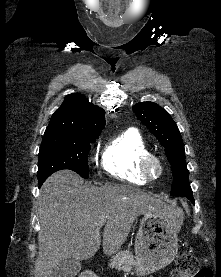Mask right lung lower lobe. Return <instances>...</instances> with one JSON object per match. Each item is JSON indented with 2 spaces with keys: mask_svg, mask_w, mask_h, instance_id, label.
<instances>
[{
  "mask_svg": "<svg viewBox=\"0 0 221 277\" xmlns=\"http://www.w3.org/2000/svg\"><path fill=\"white\" fill-rule=\"evenodd\" d=\"M43 184V182L42 183H39V186H41Z\"/></svg>",
  "mask_w": 221,
  "mask_h": 277,
  "instance_id": "right-lung-lower-lobe-1",
  "label": "right lung lower lobe"
}]
</instances>
